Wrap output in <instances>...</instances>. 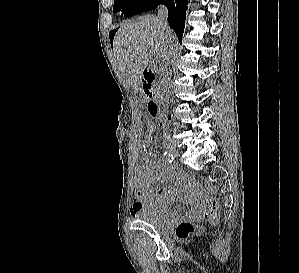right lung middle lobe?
Listing matches in <instances>:
<instances>
[{
    "label": "right lung middle lobe",
    "mask_w": 299,
    "mask_h": 273,
    "mask_svg": "<svg viewBox=\"0 0 299 273\" xmlns=\"http://www.w3.org/2000/svg\"><path fill=\"white\" fill-rule=\"evenodd\" d=\"M137 0H114L113 12L124 14Z\"/></svg>",
    "instance_id": "1"
}]
</instances>
